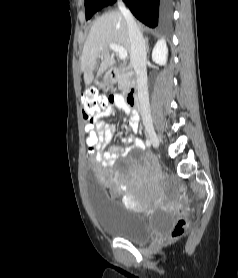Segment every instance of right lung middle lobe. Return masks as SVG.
<instances>
[{"label":"right lung middle lobe","mask_w":238,"mask_h":278,"mask_svg":"<svg viewBox=\"0 0 238 278\" xmlns=\"http://www.w3.org/2000/svg\"><path fill=\"white\" fill-rule=\"evenodd\" d=\"M105 2L106 0H86V20L90 19L93 16V14L96 13Z\"/></svg>","instance_id":"dd1d6c3e"}]
</instances>
